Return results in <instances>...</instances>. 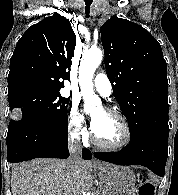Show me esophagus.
<instances>
[{
  "instance_id": "obj_1",
  "label": "esophagus",
  "mask_w": 178,
  "mask_h": 195,
  "mask_svg": "<svg viewBox=\"0 0 178 195\" xmlns=\"http://www.w3.org/2000/svg\"><path fill=\"white\" fill-rule=\"evenodd\" d=\"M94 164H95V165H101V164H100L99 162H97V161H96V162H94Z\"/></svg>"
}]
</instances>
